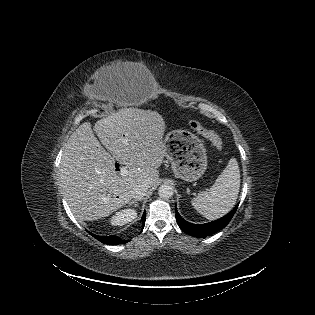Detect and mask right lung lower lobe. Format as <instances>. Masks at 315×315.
<instances>
[{"instance_id":"obj_1","label":"right lung lower lobe","mask_w":315,"mask_h":315,"mask_svg":"<svg viewBox=\"0 0 315 315\" xmlns=\"http://www.w3.org/2000/svg\"><path fill=\"white\" fill-rule=\"evenodd\" d=\"M145 217H146V213L143 214L142 216V223H143V227L145 224ZM93 237H95L97 240H99L100 242L104 243V244H108V245H118V244H123L126 243L127 241H123L122 239H120L119 237L115 236V235H111V236H98L95 234L90 233Z\"/></svg>"}]
</instances>
